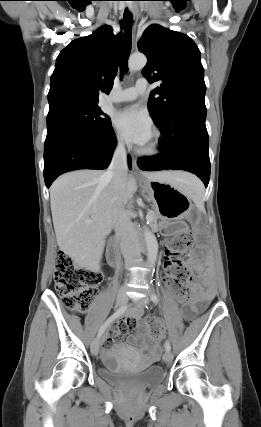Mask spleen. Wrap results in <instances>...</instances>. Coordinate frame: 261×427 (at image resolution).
<instances>
[{
  "mask_svg": "<svg viewBox=\"0 0 261 427\" xmlns=\"http://www.w3.org/2000/svg\"><path fill=\"white\" fill-rule=\"evenodd\" d=\"M186 193L197 204H203L204 188L202 183L195 177L187 181Z\"/></svg>",
  "mask_w": 261,
  "mask_h": 427,
  "instance_id": "3e777b00",
  "label": "spleen"
}]
</instances>
